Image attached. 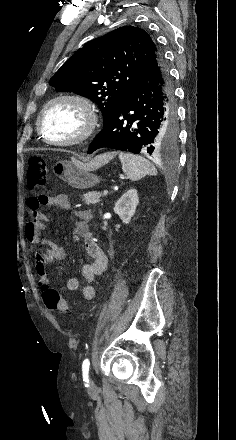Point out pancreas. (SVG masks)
<instances>
[{
	"instance_id": "1",
	"label": "pancreas",
	"mask_w": 236,
	"mask_h": 440,
	"mask_svg": "<svg viewBox=\"0 0 236 440\" xmlns=\"http://www.w3.org/2000/svg\"><path fill=\"white\" fill-rule=\"evenodd\" d=\"M100 197H101L100 192L91 191V192L83 194L82 199L87 205H91V204L99 203L101 200Z\"/></svg>"
}]
</instances>
